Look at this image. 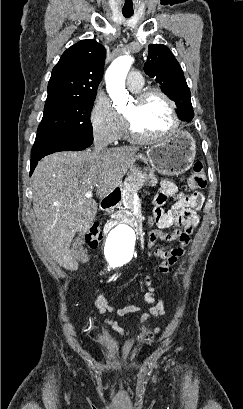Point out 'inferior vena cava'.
<instances>
[{"label":"inferior vena cava","mask_w":243,"mask_h":409,"mask_svg":"<svg viewBox=\"0 0 243 409\" xmlns=\"http://www.w3.org/2000/svg\"><path fill=\"white\" fill-rule=\"evenodd\" d=\"M106 147H107V143L103 139L98 138V137L94 139V152L95 153H100L104 151Z\"/></svg>","instance_id":"602c4592"}]
</instances>
